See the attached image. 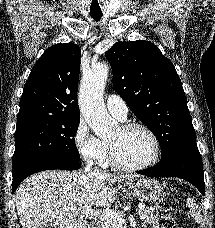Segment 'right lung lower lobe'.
Listing matches in <instances>:
<instances>
[{"instance_id": "obj_1", "label": "right lung lower lobe", "mask_w": 215, "mask_h": 228, "mask_svg": "<svg viewBox=\"0 0 215 228\" xmlns=\"http://www.w3.org/2000/svg\"><path fill=\"white\" fill-rule=\"evenodd\" d=\"M80 167L79 161L52 157L36 158L18 163L13 166L12 192L14 193L19 184L33 173L51 169L76 170Z\"/></svg>"}]
</instances>
